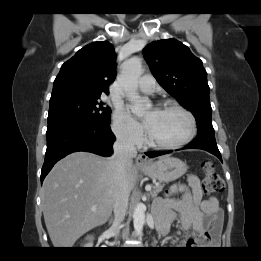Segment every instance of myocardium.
<instances>
[{
  "label": "myocardium",
  "instance_id": "1",
  "mask_svg": "<svg viewBox=\"0 0 261 261\" xmlns=\"http://www.w3.org/2000/svg\"><path fill=\"white\" fill-rule=\"evenodd\" d=\"M161 110H176V111H179L180 113H182L188 120V125H189L188 132L183 138H181L180 140H178L176 142H172V143L157 142V141L153 140L148 133L147 134V144L150 147L157 148V149H165V150L177 149V148H181V147L187 145L194 138V136L196 135V132H197V124H196V120H195V117L193 116V114L185 107L181 106L178 103H174V102H166V103L162 104Z\"/></svg>",
  "mask_w": 261,
  "mask_h": 261
}]
</instances>
